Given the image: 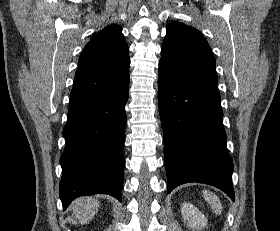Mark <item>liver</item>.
Returning <instances> with one entry per match:
<instances>
[{"instance_id": "6515ba94", "label": "liver", "mask_w": 280, "mask_h": 231, "mask_svg": "<svg viewBox=\"0 0 280 231\" xmlns=\"http://www.w3.org/2000/svg\"><path fill=\"white\" fill-rule=\"evenodd\" d=\"M98 207L99 201L95 197H78L72 205L74 217H77L80 223H89Z\"/></svg>"}]
</instances>
